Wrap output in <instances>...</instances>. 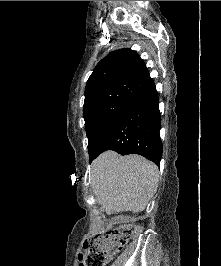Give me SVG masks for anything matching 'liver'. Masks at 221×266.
<instances>
[{"label": "liver", "instance_id": "liver-1", "mask_svg": "<svg viewBox=\"0 0 221 266\" xmlns=\"http://www.w3.org/2000/svg\"><path fill=\"white\" fill-rule=\"evenodd\" d=\"M158 167L139 155L106 151L92 163L91 185L108 215L143 211L158 188Z\"/></svg>", "mask_w": 221, "mask_h": 266}]
</instances>
